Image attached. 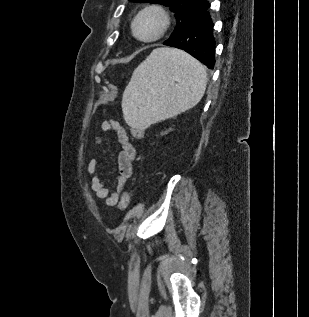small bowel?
Instances as JSON below:
<instances>
[{"instance_id":"c3829d8e","label":"small bowel","mask_w":309,"mask_h":317,"mask_svg":"<svg viewBox=\"0 0 309 317\" xmlns=\"http://www.w3.org/2000/svg\"><path fill=\"white\" fill-rule=\"evenodd\" d=\"M104 131H113L116 133L117 140L121 146V150L117 157L118 175L116 190L111 192L105 185L102 178L97 174L101 168V164L97 159H92L88 163L87 173L92 177L91 189L95 196L104 200L107 207H113L120 203L122 192L127 181L133 173V161L136 155L133 145L129 141V137L125 127L114 120H105L102 123Z\"/></svg>"}]
</instances>
